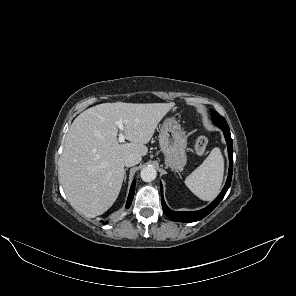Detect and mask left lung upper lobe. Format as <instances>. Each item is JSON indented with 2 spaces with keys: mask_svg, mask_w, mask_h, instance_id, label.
I'll return each mask as SVG.
<instances>
[{
  "mask_svg": "<svg viewBox=\"0 0 296 296\" xmlns=\"http://www.w3.org/2000/svg\"><path fill=\"white\" fill-rule=\"evenodd\" d=\"M212 120L214 123H221V124H227L226 120L224 119V117H222L219 113H217L216 111H214L212 114Z\"/></svg>",
  "mask_w": 296,
  "mask_h": 296,
  "instance_id": "obj_1",
  "label": "left lung upper lobe"
}]
</instances>
